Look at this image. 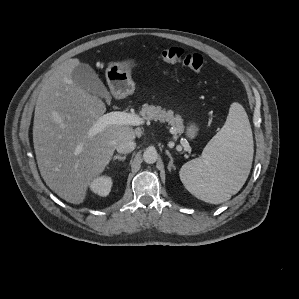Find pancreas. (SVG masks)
Here are the masks:
<instances>
[{"label":"pancreas","instance_id":"obj_1","mask_svg":"<svg viewBox=\"0 0 299 299\" xmlns=\"http://www.w3.org/2000/svg\"><path fill=\"white\" fill-rule=\"evenodd\" d=\"M139 114L145 120L167 122L172 126V133L181 134L184 131L183 119L180 115H174L173 111L162 109L160 106L144 104Z\"/></svg>","mask_w":299,"mask_h":299}]
</instances>
